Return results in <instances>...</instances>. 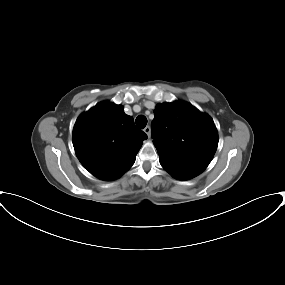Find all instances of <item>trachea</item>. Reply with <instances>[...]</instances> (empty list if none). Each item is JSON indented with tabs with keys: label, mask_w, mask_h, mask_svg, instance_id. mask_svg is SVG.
Here are the masks:
<instances>
[{
	"label": "trachea",
	"mask_w": 285,
	"mask_h": 285,
	"mask_svg": "<svg viewBox=\"0 0 285 285\" xmlns=\"http://www.w3.org/2000/svg\"><path fill=\"white\" fill-rule=\"evenodd\" d=\"M136 125L143 129L147 125V118L144 115H139L136 118Z\"/></svg>",
	"instance_id": "3493384b"
}]
</instances>
